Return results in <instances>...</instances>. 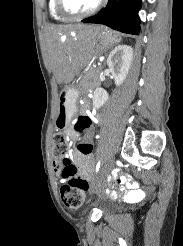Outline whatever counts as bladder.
I'll return each mask as SVG.
<instances>
[{"mask_svg":"<svg viewBox=\"0 0 183 246\" xmlns=\"http://www.w3.org/2000/svg\"><path fill=\"white\" fill-rule=\"evenodd\" d=\"M104 212H110L114 209V205L111 203H106L102 206Z\"/></svg>","mask_w":183,"mask_h":246,"instance_id":"31cf9c89","label":"bladder"}]
</instances>
